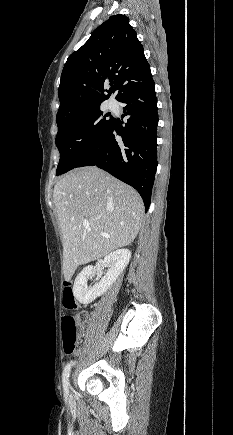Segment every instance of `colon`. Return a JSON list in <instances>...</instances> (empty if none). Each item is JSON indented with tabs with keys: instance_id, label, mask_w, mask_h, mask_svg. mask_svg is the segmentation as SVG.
I'll list each match as a JSON object with an SVG mask.
<instances>
[{
	"instance_id": "1",
	"label": "colon",
	"mask_w": 233,
	"mask_h": 435,
	"mask_svg": "<svg viewBox=\"0 0 233 435\" xmlns=\"http://www.w3.org/2000/svg\"><path fill=\"white\" fill-rule=\"evenodd\" d=\"M63 305L68 310H76L79 304L74 296L71 282H66L63 289ZM86 319L85 313L65 314L62 317L63 329V348L66 354H71L75 350L78 328L81 322Z\"/></svg>"
}]
</instances>
